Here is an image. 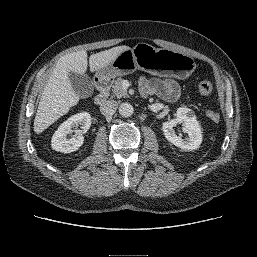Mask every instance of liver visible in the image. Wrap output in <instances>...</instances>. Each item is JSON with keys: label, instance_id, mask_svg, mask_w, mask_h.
I'll use <instances>...</instances> for the list:
<instances>
[{"label": "liver", "instance_id": "6515ba94", "mask_svg": "<svg viewBox=\"0 0 257 257\" xmlns=\"http://www.w3.org/2000/svg\"><path fill=\"white\" fill-rule=\"evenodd\" d=\"M128 46H117L92 54L89 57L90 71L95 72L112 63ZM88 66L85 50L61 57L53 70L40 99L34 119V132L39 134L69 112L79 102V96L72 88L69 74H85Z\"/></svg>", "mask_w": 257, "mask_h": 257}]
</instances>
